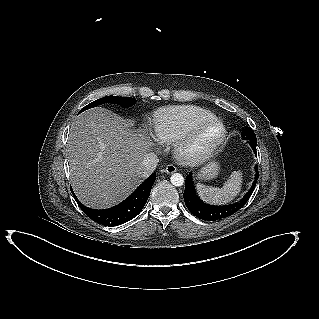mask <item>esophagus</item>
Returning a JSON list of instances; mask_svg holds the SVG:
<instances>
[{
	"label": "esophagus",
	"mask_w": 319,
	"mask_h": 319,
	"mask_svg": "<svg viewBox=\"0 0 319 319\" xmlns=\"http://www.w3.org/2000/svg\"><path fill=\"white\" fill-rule=\"evenodd\" d=\"M167 174H172L174 172L177 171L176 167L172 164H169L166 166L165 170H164Z\"/></svg>",
	"instance_id": "1"
}]
</instances>
